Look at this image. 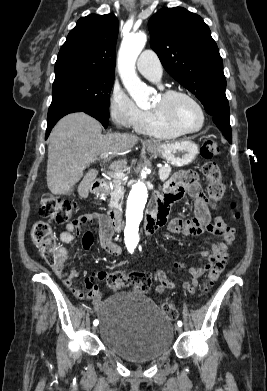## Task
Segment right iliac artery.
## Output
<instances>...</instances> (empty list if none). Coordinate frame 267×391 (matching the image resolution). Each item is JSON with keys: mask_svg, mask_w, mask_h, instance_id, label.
Here are the masks:
<instances>
[{"mask_svg": "<svg viewBox=\"0 0 267 391\" xmlns=\"http://www.w3.org/2000/svg\"><path fill=\"white\" fill-rule=\"evenodd\" d=\"M93 324H94L95 326L98 325V321L95 320V321L93 322Z\"/></svg>", "mask_w": 267, "mask_h": 391, "instance_id": "right-iliac-artery-1", "label": "right iliac artery"}]
</instances>
